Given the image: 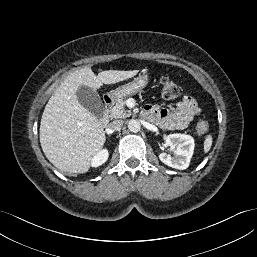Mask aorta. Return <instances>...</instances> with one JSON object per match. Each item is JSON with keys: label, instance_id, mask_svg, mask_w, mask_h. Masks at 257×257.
Returning <instances> with one entry per match:
<instances>
[{"label": "aorta", "instance_id": "aorta-1", "mask_svg": "<svg viewBox=\"0 0 257 257\" xmlns=\"http://www.w3.org/2000/svg\"><path fill=\"white\" fill-rule=\"evenodd\" d=\"M140 128H141V124L138 120L132 119L128 122V129L131 132H138L140 131Z\"/></svg>", "mask_w": 257, "mask_h": 257}]
</instances>
